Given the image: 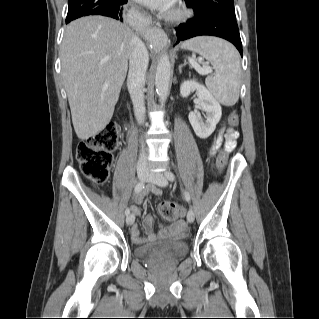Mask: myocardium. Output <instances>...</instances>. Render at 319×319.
<instances>
[{"label": "myocardium", "mask_w": 319, "mask_h": 319, "mask_svg": "<svg viewBox=\"0 0 319 319\" xmlns=\"http://www.w3.org/2000/svg\"><path fill=\"white\" fill-rule=\"evenodd\" d=\"M188 12L182 5H176L171 12L168 13L167 19L170 21H179L187 16Z\"/></svg>", "instance_id": "f54148a6"}]
</instances>
